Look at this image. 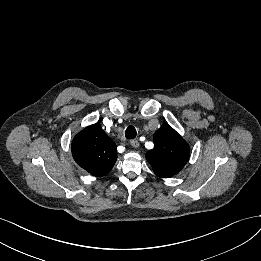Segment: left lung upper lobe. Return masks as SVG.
Returning <instances> with one entry per match:
<instances>
[{
    "label": "left lung upper lobe",
    "mask_w": 261,
    "mask_h": 261,
    "mask_svg": "<svg viewBox=\"0 0 261 261\" xmlns=\"http://www.w3.org/2000/svg\"><path fill=\"white\" fill-rule=\"evenodd\" d=\"M154 148L147 151L146 159L154 173L161 178L176 175L189 159L188 143L165 123L154 134Z\"/></svg>",
    "instance_id": "left-lung-upper-lobe-1"
}]
</instances>
